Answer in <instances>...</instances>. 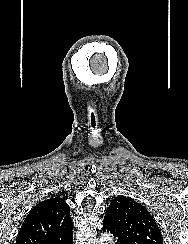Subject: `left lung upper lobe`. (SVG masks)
<instances>
[{
  "label": "left lung upper lobe",
  "instance_id": "left-lung-upper-lobe-1",
  "mask_svg": "<svg viewBox=\"0 0 188 244\" xmlns=\"http://www.w3.org/2000/svg\"><path fill=\"white\" fill-rule=\"evenodd\" d=\"M123 244H163L161 231L147 209L130 197L114 198L106 213Z\"/></svg>",
  "mask_w": 188,
  "mask_h": 244
}]
</instances>
